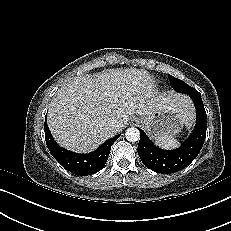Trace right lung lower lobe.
Masks as SVG:
<instances>
[{"label": "right lung lower lobe", "mask_w": 231, "mask_h": 231, "mask_svg": "<svg viewBox=\"0 0 231 231\" xmlns=\"http://www.w3.org/2000/svg\"><path fill=\"white\" fill-rule=\"evenodd\" d=\"M45 140L47 147L52 156L68 171L75 175L86 176L100 171L109 156L112 144L119 138L117 135L106 142L91 153L78 154L68 151L54 141L51 132L45 120L44 125Z\"/></svg>", "instance_id": "1"}]
</instances>
